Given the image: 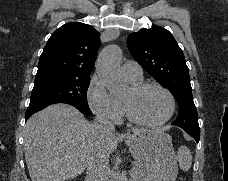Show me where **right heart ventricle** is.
<instances>
[{"label": "right heart ventricle", "instance_id": "right-heart-ventricle-1", "mask_svg": "<svg viewBox=\"0 0 228 181\" xmlns=\"http://www.w3.org/2000/svg\"><path fill=\"white\" fill-rule=\"evenodd\" d=\"M128 78V77H127ZM133 84L134 83H138V82H140L141 81V77L139 78V79H131V78H128ZM122 104V103H121ZM122 106H123V104H122Z\"/></svg>", "mask_w": 228, "mask_h": 181}]
</instances>
